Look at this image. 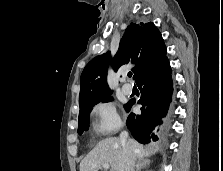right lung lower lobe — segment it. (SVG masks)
Returning <instances> with one entry per match:
<instances>
[{
    "label": "right lung lower lobe",
    "mask_w": 223,
    "mask_h": 171,
    "mask_svg": "<svg viewBox=\"0 0 223 171\" xmlns=\"http://www.w3.org/2000/svg\"><path fill=\"white\" fill-rule=\"evenodd\" d=\"M137 85L141 91L138 101L142 104L141 114L130 113L126 124L133 137L145 144L150 139L158 140L154 132L161 124V118L166 115L172 100L173 82L168 59L142 76ZM134 103V100H130L126 110L129 111Z\"/></svg>",
    "instance_id": "obj_1"
}]
</instances>
